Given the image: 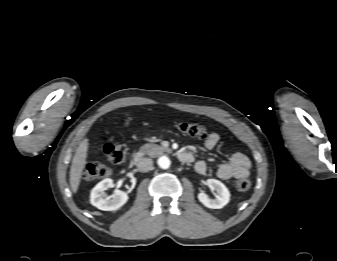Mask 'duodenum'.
Masks as SVG:
<instances>
[{
    "mask_svg": "<svg viewBox=\"0 0 337 261\" xmlns=\"http://www.w3.org/2000/svg\"><path fill=\"white\" fill-rule=\"evenodd\" d=\"M178 158L182 162H191L192 161V155L189 154V153H186V152L179 153ZM142 159H143L142 154L141 153H136L133 156L132 163L134 165H138V164H140V162L142 161Z\"/></svg>",
    "mask_w": 337,
    "mask_h": 261,
    "instance_id": "obj_1",
    "label": "duodenum"
}]
</instances>
